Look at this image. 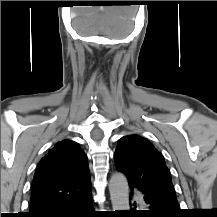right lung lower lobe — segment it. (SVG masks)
<instances>
[{
  "instance_id": "obj_1",
  "label": "right lung lower lobe",
  "mask_w": 217,
  "mask_h": 217,
  "mask_svg": "<svg viewBox=\"0 0 217 217\" xmlns=\"http://www.w3.org/2000/svg\"><path fill=\"white\" fill-rule=\"evenodd\" d=\"M39 217H96L92 205V193L83 200L63 203Z\"/></svg>"
}]
</instances>
